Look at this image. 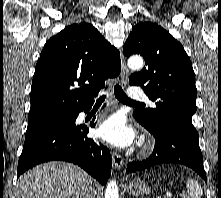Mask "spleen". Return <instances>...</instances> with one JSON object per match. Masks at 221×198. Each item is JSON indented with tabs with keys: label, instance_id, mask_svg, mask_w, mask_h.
I'll return each mask as SVG.
<instances>
[{
	"label": "spleen",
	"instance_id": "1",
	"mask_svg": "<svg viewBox=\"0 0 221 198\" xmlns=\"http://www.w3.org/2000/svg\"><path fill=\"white\" fill-rule=\"evenodd\" d=\"M186 188L192 198H201L203 194V189L197 181L193 179H188L186 183Z\"/></svg>",
	"mask_w": 221,
	"mask_h": 198
}]
</instances>
